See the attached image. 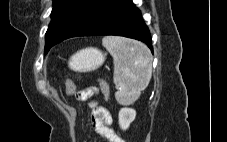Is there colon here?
<instances>
[{
	"label": "colon",
	"instance_id": "1",
	"mask_svg": "<svg viewBox=\"0 0 227 142\" xmlns=\"http://www.w3.org/2000/svg\"><path fill=\"white\" fill-rule=\"evenodd\" d=\"M99 85H100V88L102 90V93H103L104 97H106L107 93H108V87H107L106 83L103 82V81H100ZM75 94H76L75 84H74V82L72 80H68L67 81V95L69 97H72Z\"/></svg>",
	"mask_w": 227,
	"mask_h": 142
}]
</instances>
